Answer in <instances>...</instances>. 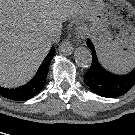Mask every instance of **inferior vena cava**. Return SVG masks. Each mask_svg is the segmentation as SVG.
I'll return each instance as SVG.
<instances>
[{"instance_id":"602c4592","label":"inferior vena cava","mask_w":135,"mask_h":135,"mask_svg":"<svg viewBox=\"0 0 135 135\" xmlns=\"http://www.w3.org/2000/svg\"><path fill=\"white\" fill-rule=\"evenodd\" d=\"M60 36H61V32L60 31H56L53 34H51L46 39V46L50 48L52 45H54L55 43H57L59 41Z\"/></svg>"}]
</instances>
